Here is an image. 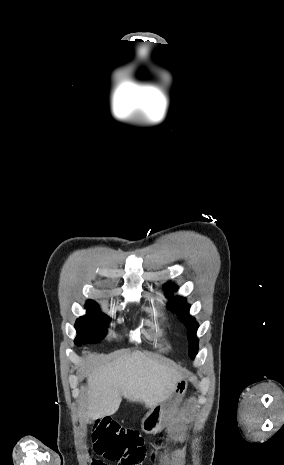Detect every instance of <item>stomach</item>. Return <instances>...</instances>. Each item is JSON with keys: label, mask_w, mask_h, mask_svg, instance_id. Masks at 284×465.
<instances>
[{"label": "stomach", "mask_w": 284, "mask_h": 465, "mask_svg": "<svg viewBox=\"0 0 284 465\" xmlns=\"http://www.w3.org/2000/svg\"><path fill=\"white\" fill-rule=\"evenodd\" d=\"M188 387L187 379H181L178 381L176 385L175 391H173L172 395L162 401V403H158L155 405L147 415H145L144 419L141 421V429L144 433H150V435H155V433H160L162 429L165 427V421L172 409V407H176L180 401H182Z\"/></svg>", "instance_id": "stomach-1"}]
</instances>
